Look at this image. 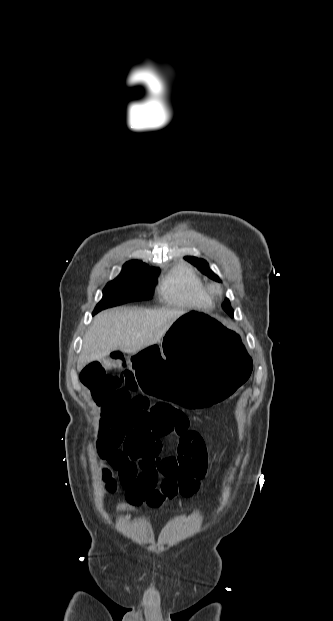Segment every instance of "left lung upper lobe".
<instances>
[{"instance_id":"left-lung-upper-lobe-1","label":"left lung upper lobe","mask_w":333,"mask_h":621,"mask_svg":"<svg viewBox=\"0 0 333 621\" xmlns=\"http://www.w3.org/2000/svg\"><path fill=\"white\" fill-rule=\"evenodd\" d=\"M185 259L189 263L197 267V269H199L203 274L208 276L210 279H213L215 281H220L219 277L213 273V271L209 268V265L205 260L199 259L193 256H186ZM223 308L230 316H233L234 310L231 308L230 302L228 299L224 301Z\"/></svg>"}]
</instances>
